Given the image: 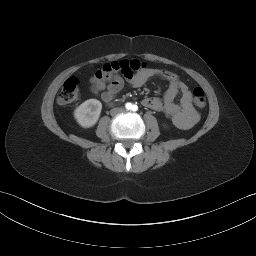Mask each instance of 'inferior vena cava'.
Returning <instances> with one entry per match:
<instances>
[{
  "mask_svg": "<svg viewBox=\"0 0 256 256\" xmlns=\"http://www.w3.org/2000/svg\"><path fill=\"white\" fill-rule=\"evenodd\" d=\"M122 111H123L122 108H113V109L110 111V113H111V115H116V114H118V113H121Z\"/></svg>",
  "mask_w": 256,
  "mask_h": 256,
  "instance_id": "obj_1",
  "label": "inferior vena cava"
}]
</instances>
